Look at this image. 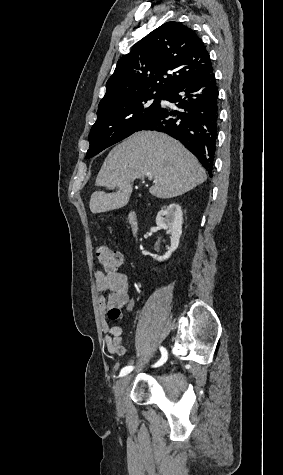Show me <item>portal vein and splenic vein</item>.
Here are the masks:
<instances>
[{
  "mask_svg": "<svg viewBox=\"0 0 283 475\" xmlns=\"http://www.w3.org/2000/svg\"><path fill=\"white\" fill-rule=\"evenodd\" d=\"M149 180H151L152 176H148Z\"/></svg>",
  "mask_w": 283,
  "mask_h": 475,
  "instance_id": "18ae733b",
  "label": "portal vein and splenic vein"
}]
</instances>
